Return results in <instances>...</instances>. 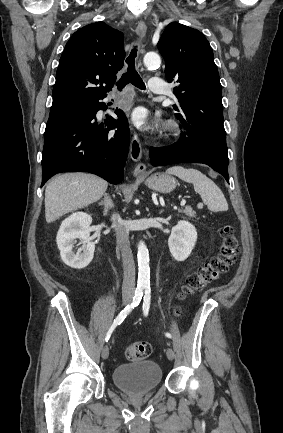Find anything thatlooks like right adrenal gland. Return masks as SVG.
Returning <instances> with one entry per match:
<instances>
[{
  "label": "right adrenal gland",
  "mask_w": 283,
  "mask_h": 433,
  "mask_svg": "<svg viewBox=\"0 0 283 433\" xmlns=\"http://www.w3.org/2000/svg\"><path fill=\"white\" fill-rule=\"evenodd\" d=\"M98 204H103V217H108L110 208H114V202L109 192H104V200H101Z\"/></svg>",
  "instance_id": "right-adrenal-gland-1"
}]
</instances>
